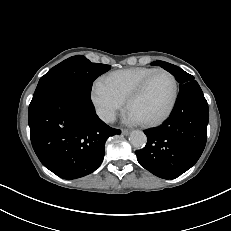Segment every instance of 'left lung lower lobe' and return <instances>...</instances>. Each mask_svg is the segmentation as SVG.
<instances>
[{"label": "left lung lower lobe", "instance_id": "0a47b994", "mask_svg": "<svg viewBox=\"0 0 231 231\" xmlns=\"http://www.w3.org/2000/svg\"><path fill=\"white\" fill-rule=\"evenodd\" d=\"M208 104L195 80L181 85L170 117L144 131L147 144L135 151L142 167L163 179H174L190 169L206 144Z\"/></svg>", "mask_w": 231, "mask_h": 231}]
</instances>
